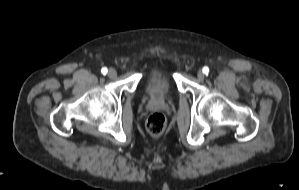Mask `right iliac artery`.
<instances>
[{
  "mask_svg": "<svg viewBox=\"0 0 299 190\" xmlns=\"http://www.w3.org/2000/svg\"><path fill=\"white\" fill-rule=\"evenodd\" d=\"M101 72H102V74L106 75V74H107V72H108V70H107V68H106V67H104V68H102V69H101Z\"/></svg>",
  "mask_w": 299,
  "mask_h": 190,
  "instance_id": "right-iliac-artery-1",
  "label": "right iliac artery"
}]
</instances>
